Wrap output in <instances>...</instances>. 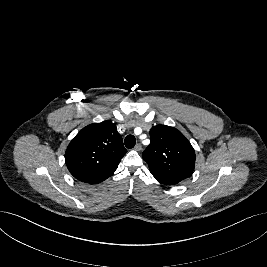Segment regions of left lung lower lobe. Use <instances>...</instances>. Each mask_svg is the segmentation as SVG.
Listing matches in <instances>:
<instances>
[{"mask_svg":"<svg viewBox=\"0 0 267 267\" xmlns=\"http://www.w3.org/2000/svg\"><path fill=\"white\" fill-rule=\"evenodd\" d=\"M154 177L159 183L164 184V185H175V184L179 183V181H175L172 179H165V178H161L158 176H154Z\"/></svg>","mask_w":267,"mask_h":267,"instance_id":"left-lung-lower-lobe-1","label":"left lung lower lobe"}]
</instances>
